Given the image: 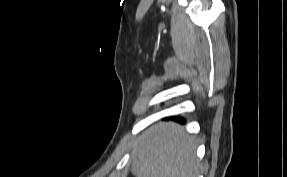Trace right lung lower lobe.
I'll use <instances>...</instances> for the list:
<instances>
[{"mask_svg":"<svg viewBox=\"0 0 287 177\" xmlns=\"http://www.w3.org/2000/svg\"><path fill=\"white\" fill-rule=\"evenodd\" d=\"M178 120H179V121H182V122L184 121L183 119H178Z\"/></svg>","mask_w":287,"mask_h":177,"instance_id":"1","label":"right lung lower lobe"}]
</instances>
